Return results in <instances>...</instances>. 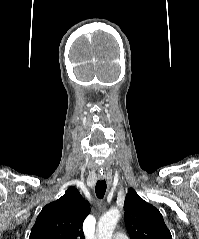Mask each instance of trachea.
Wrapping results in <instances>:
<instances>
[{
  "label": "trachea",
  "mask_w": 199,
  "mask_h": 239,
  "mask_svg": "<svg viewBox=\"0 0 199 239\" xmlns=\"http://www.w3.org/2000/svg\"><path fill=\"white\" fill-rule=\"evenodd\" d=\"M96 196L99 199H103L106 192V182L105 180H98L95 187Z\"/></svg>",
  "instance_id": "1"
}]
</instances>
